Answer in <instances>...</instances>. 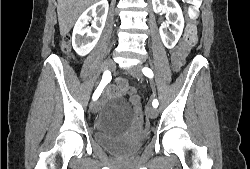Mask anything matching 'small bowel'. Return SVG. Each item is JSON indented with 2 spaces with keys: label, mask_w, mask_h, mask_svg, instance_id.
<instances>
[{
  "label": "small bowel",
  "mask_w": 250,
  "mask_h": 169,
  "mask_svg": "<svg viewBox=\"0 0 250 169\" xmlns=\"http://www.w3.org/2000/svg\"><path fill=\"white\" fill-rule=\"evenodd\" d=\"M193 43H188L186 40L177 48L171 51V60L176 61L180 67L183 65L185 58L188 56ZM128 82L122 77H117L115 85L108 87L105 90V99L111 100L117 96H124V88L127 87Z\"/></svg>",
  "instance_id": "1"
}]
</instances>
